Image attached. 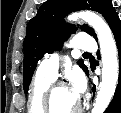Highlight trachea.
<instances>
[{
	"label": "trachea",
	"instance_id": "1",
	"mask_svg": "<svg viewBox=\"0 0 121 113\" xmlns=\"http://www.w3.org/2000/svg\"><path fill=\"white\" fill-rule=\"evenodd\" d=\"M84 55H90V53H87V52H86V53H84Z\"/></svg>",
	"mask_w": 121,
	"mask_h": 113
}]
</instances>
